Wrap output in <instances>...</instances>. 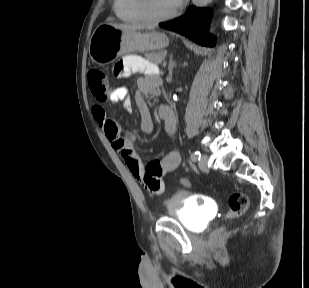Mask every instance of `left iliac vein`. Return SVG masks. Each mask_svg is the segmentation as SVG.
<instances>
[{
  "label": "left iliac vein",
  "instance_id": "obj_1",
  "mask_svg": "<svg viewBox=\"0 0 309 288\" xmlns=\"http://www.w3.org/2000/svg\"><path fill=\"white\" fill-rule=\"evenodd\" d=\"M207 161H208V156L205 155V154H203V155L200 157V160H199V168H200L202 171H207V170H208Z\"/></svg>",
  "mask_w": 309,
  "mask_h": 288
}]
</instances>
